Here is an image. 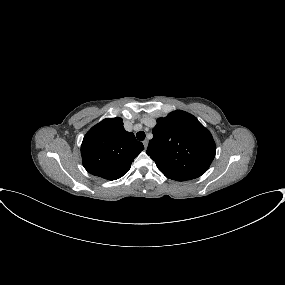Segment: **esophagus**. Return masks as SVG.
Wrapping results in <instances>:
<instances>
[{"label":"esophagus","instance_id":"1","mask_svg":"<svg viewBox=\"0 0 285 285\" xmlns=\"http://www.w3.org/2000/svg\"><path fill=\"white\" fill-rule=\"evenodd\" d=\"M143 145H144V148L147 149V147H148V141H147V140H144V141H143Z\"/></svg>","mask_w":285,"mask_h":285}]
</instances>
